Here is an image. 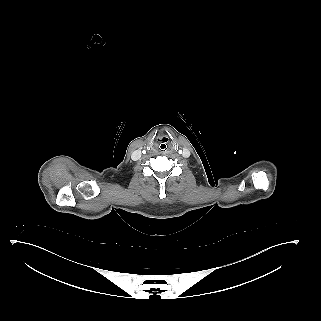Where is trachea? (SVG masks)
Wrapping results in <instances>:
<instances>
[{"label": "trachea", "mask_w": 321, "mask_h": 321, "mask_svg": "<svg viewBox=\"0 0 321 321\" xmlns=\"http://www.w3.org/2000/svg\"><path fill=\"white\" fill-rule=\"evenodd\" d=\"M158 150H159L160 153L165 154V153L168 152L169 147H168L167 144L162 143V144L159 145Z\"/></svg>", "instance_id": "obj_1"}]
</instances>
